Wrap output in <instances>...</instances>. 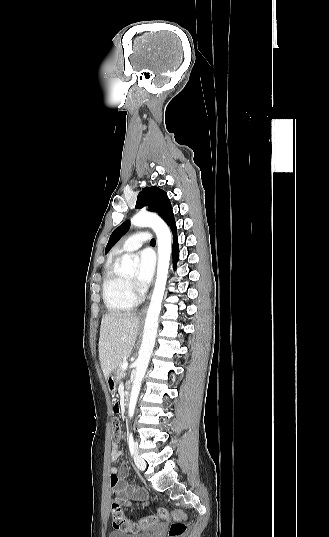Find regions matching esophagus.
Listing matches in <instances>:
<instances>
[{"mask_svg":"<svg viewBox=\"0 0 329 537\" xmlns=\"http://www.w3.org/2000/svg\"><path fill=\"white\" fill-rule=\"evenodd\" d=\"M149 299H150V296H149ZM147 307H148V304H146V305L142 308V310H141V312H140V315H144V314L146 313V311H147Z\"/></svg>","mask_w":329,"mask_h":537,"instance_id":"esophagus-1","label":"esophagus"}]
</instances>
